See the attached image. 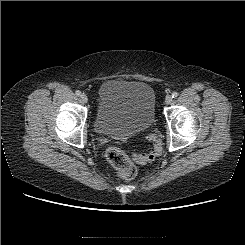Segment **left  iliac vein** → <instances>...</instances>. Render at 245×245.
<instances>
[{
  "label": "left iliac vein",
  "instance_id": "4c4485c4",
  "mask_svg": "<svg viewBox=\"0 0 245 245\" xmlns=\"http://www.w3.org/2000/svg\"><path fill=\"white\" fill-rule=\"evenodd\" d=\"M171 101H172V97L170 95H167L166 98H165L166 104H170Z\"/></svg>",
  "mask_w": 245,
  "mask_h": 245
}]
</instances>
